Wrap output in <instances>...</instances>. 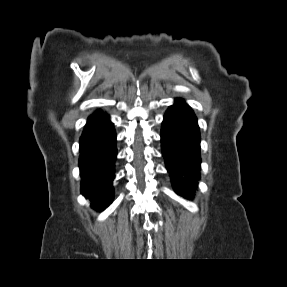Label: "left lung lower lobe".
Instances as JSON below:
<instances>
[{"instance_id": "1", "label": "left lung lower lobe", "mask_w": 287, "mask_h": 287, "mask_svg": "<svg viewBox=\"0 0 287 287\" xmlns=\"http://www.w3.org/2000/svg\"><path fill=\"white\" fill-rule=\"evenodd\" d=\"M162 155L177 194L189 198L195 192L200 170V133L188 104L176 99L164 115Z\"/></svg>"}]
</instances>
